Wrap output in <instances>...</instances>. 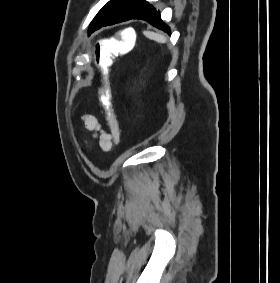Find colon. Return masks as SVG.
Returning a JSON list of instances; mask_svg holds the SVG:
<instances>
[{
    "mask_svg": "<svg viewBox=\"0 0 280 283\" xmlns=\"http://www.w3.org/2000/svg\"><path fill=\"white\" fill-rule=\"evenodd\" d=\"M120 29L121 37H105V42L98 41L93 47L95 64L101 74L100 100L105 108L107 119L112 124H115L117 120L113 111L111 92L107 81V74L113 62L111 55H128V51H132V47H135V42H137L133 25H121ZM114 138L116 142H119L120 133L116 127H114Z\"/></svg>",
    "mask_w": 280,
    "mask_h": 283,
    "instance_id": "colon-1",
    "label": "colon"
}]
</instances>
